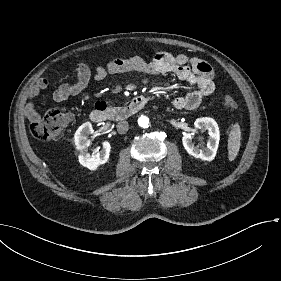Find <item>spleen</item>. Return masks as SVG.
Wrapping results in <instances>:
<instances>
[{
  "label": "spleen",
  "mask_w": 281,
  "mask_h": 281,
  "mask_svg": "<svg viewBox=\"0 0 281 281\" xmlns=\"http://www.w3.org/2000/svg\"><path fill=\"white\" fill-rule=\"evenodd\" d=\"M241 130L238 123L234 124L228 138V159L233 161L240 149Z\"/></svg>",
  "instance_id": "spleen-1"
}]
</instances>
